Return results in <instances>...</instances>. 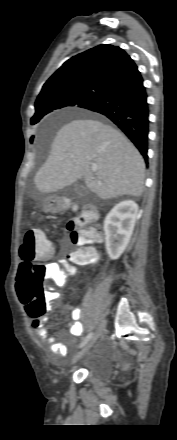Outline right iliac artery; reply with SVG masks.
<instances>
[{"label": "right iliac artery", "instance_id": "obj_1", "mask_svg": "<svg viewBox=\"0 0 177 440\" xmlns=\"http://www.w3.org/2000/svg\"><path fill=\"white\" fill-rule=\"evenodd\" d=\"M93 337V333L88 334L80 344V347H83L88 343V341Z\"/></svg>", "mask_w": 177, "mask_h": 440}]
</instances>
